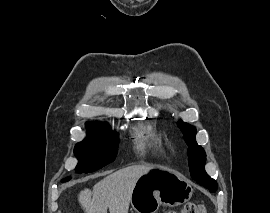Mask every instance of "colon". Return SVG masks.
I'll return each mask as SVG.
<instances>
[{"instance_id": "1", "label": "colon", "mask_w": 270, "mask_h": 213, "mask_svg": "<svg viewBox=\"0 0 270 213\" xmlns=\"http://www.w3.org/2000/svg\"><path fill=\"white\" fill-rule=\"evenodd\" d=\"M167 213H207V210L202 204L187 203L180 212L168 211Z\"/></svg>"}]
</instances>
